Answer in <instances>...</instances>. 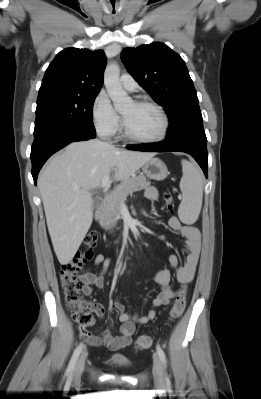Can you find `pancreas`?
Wrapping results in <instances>:
<instances>
[{
	"instance_id": "cf45deb5",
	"label": "pancreas",
	"mask_w": 261,
	"mask_h": 399,
	"mask_svg": "<svg viewBox=\"0 0 261 399\" xmlns=\"http://www.w3.org/2000/svg\"><path fill=\"white\" fill-rule=\"evenodd\" d=\"M148 186H150V182L144 175L133 176L118 185L104 207L100 216V225L106 230L115 227L120 218L121 206L127 196L135 191L143 190Z\"/></svg>"
}]
</instances>
